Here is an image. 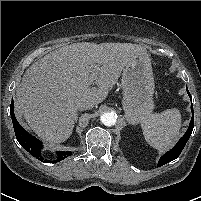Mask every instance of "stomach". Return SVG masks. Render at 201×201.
Listing matches in <instances>:
<instances>
[{
    "label": "stomach",
    "mask_w": 201,
    "mask_h": 201,
    "mask_svg": "<svg viewBox=\"0 0 201 201\" xmlns=\"http://www.w3.org/2000/svg\"><path fill=\"white\" fill-rule=\"evenodd\" d=\"M121 84L127 121L131 124L142 122L154 109L155 84L151 60L146 51L140 52L123 69Z\"/></svg>",
    "instance_id": "stomach-1"
}]
</instances>
